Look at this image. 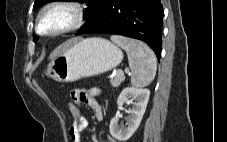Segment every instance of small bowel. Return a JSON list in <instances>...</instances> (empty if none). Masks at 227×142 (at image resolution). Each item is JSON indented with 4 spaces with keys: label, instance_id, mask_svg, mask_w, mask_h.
Here are the masks:
<instances>
[{
    "label": "small bowel",
    "instance_id": "c3829d8e",
    "mask_svg": "<svg viewBox=\"0 0 227 142\" xmlns=\"http://www.w3.org/2000/svg\"><path fill=\"white\" fill-rule=\"evenodd\" d=\"M100 95V90L96 88L91 89H74L71 91V99L77 104H87L89 105L97 119H104V112L101 105L96 101L95 97ZM88 125L87 119L83 117L79 122H73L69 128V135L72 142H81V134L86 129ZM109 142H116L111 137H108ZM94 142H97L96 137H94Z\"/></svg>",
    "mask_w": 227,
    "mask_h": 142
}]
</instances>
